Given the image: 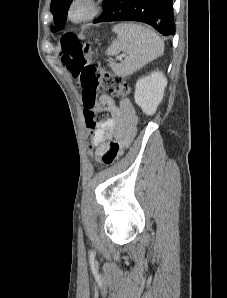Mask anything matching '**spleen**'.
Listing matches in <instances>:
<instances>
[{
  "mask_svg": "<svg viewBox=\"0 0 227 298\" xmlns=\"http://www.w3.org/2000/svg\"><path fill=\"white\" fill-rule=\"evenodd\" d=\"M117 35L107 49V55L125 53L121 63L109 61L112 71L120 76L132 75L164 52V42L154 31L134 23H119L112 30Z\"/></svg>",
  "mask_w": 227,
  "mask_h": 298,
  "instance_id": "spleen-1",
  "label": "spleen"
}]
</instances>
